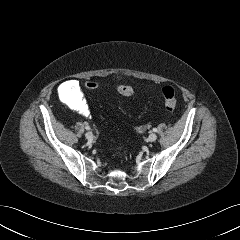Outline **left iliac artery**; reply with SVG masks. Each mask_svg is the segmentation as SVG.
<instances>
[{
    "mask_svg": "<svg viewBox=\"0 0 240 240\" xmlns=\"http://www.w3.org/2000/svg\"><path fill=\"white\" fill-rule=\"evenodd\" d=\"M153 131H154V132H157L158 130H157L156 128H153Z\"/></svg>",
    "mask_w": 240,
    "mask_h": 240,
    "instance_id": "44dca946",
    "label": "left iliac artery"
}]
</instances>
